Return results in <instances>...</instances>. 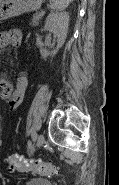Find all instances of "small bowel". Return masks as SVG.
Masks as SVG:
<instances>
[{
	"instance_id": "c3829d8e",
	"label": "small bowel",
	"mask_w": 119,
	"mask_h": 185,
	"mask_svg": "<svg viewBox=\"0 0 119 185\" xmlns=\"http://www.w3.org/2000/svg\"><path fill=\"white\" fill-rule=\"evenodd\" d=\"M22 40V33L19 29H11L3 31L0 34V47L2 51L9 49L12 46H19ZM28 85L27 72H22L15 85H12L5 78L1 79V97L6 101L10 108H16L22 101Z\"/></svg>"
}]
</instances>
